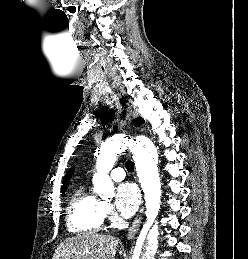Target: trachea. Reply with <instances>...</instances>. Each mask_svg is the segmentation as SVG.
Instances as JSON below:
<instances>
[{
	"mask_svg": "<svg viewBox=\"0 0 248 259\" xmlns=\"http://www.w3.org/2000/svg\"><path fill=\"white\" fill-rule=\"evenodd\" d=\"M126 168H127V170H128L129 172H133V170H134V164H133V162H132L131 160H128V161L126 162Z\"/></svg>",
	"mask_w": 248,
	"mask_h": 259,
	"instance_id": "obj_1",
	"label": "trachea"
}]
</instances>
